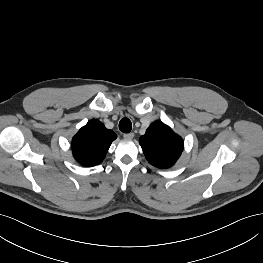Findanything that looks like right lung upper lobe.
<instances>
[{
	"label": "right lung upper lobe",
	"instance_id": "1",
	"mask_svg": "<svg viewBox=\"0 0 263 263\" xmlns=\"http://www.w3.org/2000/svg\"><path fill=\"white\" fill-rule=\"evenodd\" d=\"M116 134L100 121L91 120L72 139V150L75 159L84 166L100 164Z\"/></svg>",
	"mask_w": 263,
	"mask_h": 263
}]
</instances>
